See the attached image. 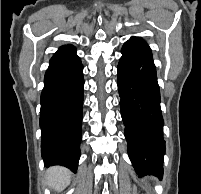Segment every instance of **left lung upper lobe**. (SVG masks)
Segmentation results:
<instances>
[{
	"label": "left lung upper lobe",
	"mask_w": 201,
	"mask_h": 194,
	"mask_svg": "<svg viewBox=\"0 0 201 194\" xmlns=\"http://www.w3.org/2000/svg\"><path fill=\"white\" fill-rule=\"evenodd\" d=\"M131 39L133 40H137V41H140V42H143V43H146L144 40H142L140 37H132ZM147 44V43H146Z\"/></svg>",
	"instance_id": "1"
}]
</instances>
